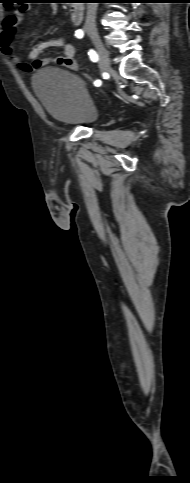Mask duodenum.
I'll return each instance as SVG.
<instances>
[{"mask_svg": "<svg viewBox=\"0 0 190 483\" xmlns=\"http://www.w3.org/2000/svg\"><path fill=\"white\" fill-rule=\"evenodd\" d=\"M82 0H74L70 6V19L73 24H79L84 17V6Z\"/></svg>", "mask_w": 190, "mask_h": 483, "instance_id": "obj_1", "label": "duodenum"}]
</instances>
